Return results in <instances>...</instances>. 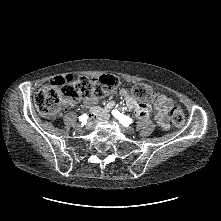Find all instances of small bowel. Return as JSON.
I'll list each match as a JSON object with an SVG mask.
<instances>
[{
	"label": "small bowel",
	"mask_w": 221,
	"mask_h": 221,
	"mask_svg": "<svg viewBox=\"0 0 221 221\" xmlns=\"http://www.w3.org/2000/svg\"><path fill=\"white\" fill-rule=\"evenodd\" d=\"M76 81V74L74 72H67L61 74H52L50 76V83L52 85L71 84ZM121 96L125 100L126 108L135 113L139 119H146L151 111V106L145 103L137 102L126 89L120 90ZM98 99L94 96L88 97L83 101V105L90 108V117L92 119H106L108 112L114 107V103H108L105 108L97 105ZM174 102L163 94L156 93L155 104L153 107L154 118L157 124L163 129L169 128V106ZM75 102H68L65 106L67 108L73 107Z\"/></svg>",
	"instance_id": "c3829d8e"
}]
</instances>
